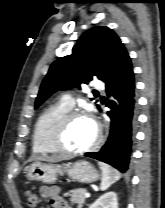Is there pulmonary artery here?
Returning a JSON list of instances; mask_svg holds the SVG:
<instances>
[{
  "instance_id": "e3ab8cb5",
  "label": "pulmonary artery",
  "mask_w": 165,
  "mask_h": 208,
  "mask_svg": "<svg viewBox=\"0 0 165 208\" xmlns=\"http://www.w3.org/2000/svg\"><path fill=\"white\" fill-rule=\"evenodd\" d=\"M96 90H103L104 89V84L100 81L94 82L93 86ZM63 103L68 106V107H73L74 106V100L71 96L67 95L63 98Z\"/></svg>"
}]
</instances>
